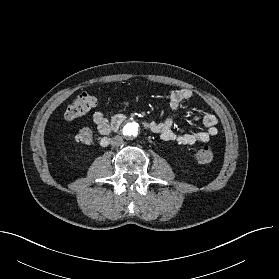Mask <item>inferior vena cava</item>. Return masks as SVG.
<instances>
[{
  "label": "inferior vena cava",
  "instance_id": "inferior-vena-cava-1",
  "mask_svg": "<svg viewBox=\"0 0 279 279\" xmlns=\"http://www.w3.org/2000/svg\"><path fill=\"white\" fill-rule=\"evenodd\" d=\"M110 144L114 147H119L123 144V138L117 135L110 140Z\"/></svg>",
  "mask_w": 279,
  "mask_h": 279
}]
</instances>
